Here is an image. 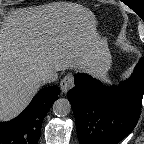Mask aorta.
Returning a JSON list of instances; mask_svg holds the SVG:
<instances>
[{
  "label": "aorta",
  "instance_id": "obj_1",
  "mask_svg": "<svg viewBox=\"0 0 144 144\" xmlns=\"http://www.w3.org/2000/svg\"><path fill=\"white\" fill-rule=\"evenodd\" d=\"M71 111V104L68 99L60 98L53 103V113L58 117H65Z\"/></svg>",
  "mask_w": 144,
  "mask_h": 144
}]
</instances>
